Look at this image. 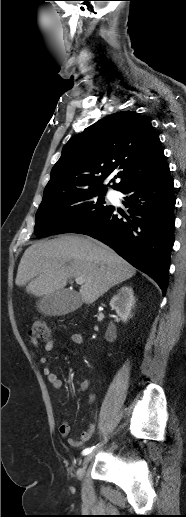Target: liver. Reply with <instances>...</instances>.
<instances>
[{
    "mask_svg": "<svg viewBox=\"0 0 186 517\" xmlns=\"http://www.w3.org/2000/svg\"><path fill=\"white\" fill-rule=\"evenodd\" d=\"M136 269L110 247L90 238L65 235L38 241L24 252L16 285L37 297L64 290L68 279L83 277L81 300L92 304L111 287L133 277Z\"/></svg>",
    "mask_w": 186,
    "mask_h": 517,
    "instance_id": "6515ba94",
    "label": "liver"
}]
</instances>
